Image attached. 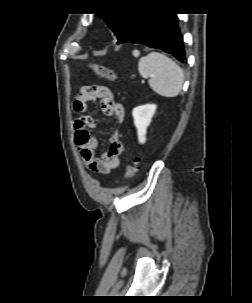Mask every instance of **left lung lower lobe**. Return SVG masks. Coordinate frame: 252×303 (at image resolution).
<instances>
[{
  "label": "left lung lower lobe",
  "instance_id": "obj_1",
  "mask_svg": "<svg viewBox=\"0 0 252 303\" xmlns=\"http://www.w3.org/2000/svg\"><path fill=\"white\" fill-rule=\"evenodd\" d=\"M132 42L161 49L180 62L185 61V52L176 16L172 13H146L133 30L118 44Z\"/></svg>",
  "mask_w": 252,
  "mask_h": 303
}]
</instances>
